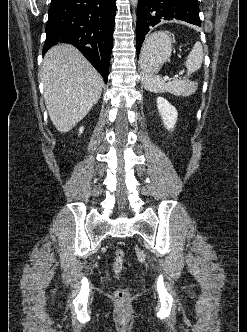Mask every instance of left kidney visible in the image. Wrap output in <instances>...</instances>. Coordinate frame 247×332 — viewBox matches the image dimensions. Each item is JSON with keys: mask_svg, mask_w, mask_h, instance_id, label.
Wrapping results in <instances>:
<instances>
[{"mask_svg": "<svg viewBox=\"0 0 247 332\" xmlns=\"http://www.w3.org/2000/svg\"><path fill=\"white\" fill-rule=\"evenodd\" d=\"M157 108L161 115L164 126L167 128V130H172L175 127L178 117L176 108L163 97L157 98Z\"/></svg>", "mask_w": 247, "mask_h": 332, "instance_id": "left-kidney-1", "label": "left kidney"}]
</instances>
